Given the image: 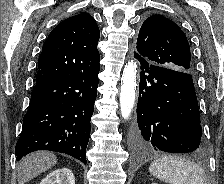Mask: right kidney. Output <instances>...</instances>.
I'll return each instance as SVG.
<instances>
[{"label":"right kidney","instance_id":"right-kidney-1","mask_svg":"<svg viewBox=\"0 0 224 184\" xmlns=\"http://www.w3.org/2000/svg\"><path fill=\"white\" fill-rule=\"evenodd\" d=\"M40 184H75V178L70 169L62 168L49 173Z\"/></svg>","mask_w":224,"mask_h":184}]
</instances>
